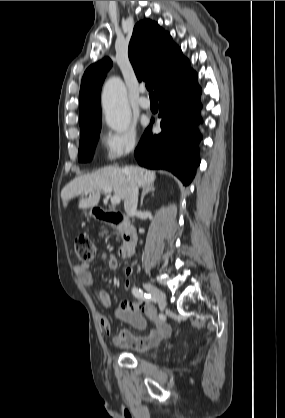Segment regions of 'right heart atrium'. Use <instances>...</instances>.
<instances>
[{
  "label": "right heart atrium",
  "instance_id": "obj_1",
  "mask_svg": "<svg viewBox=\"0 0 285 418\" xmlns=\"http://www.w3.org/2000/svg\"><path fill=\"white\" fill-rule=\"evenodd\" d=\"M137 143L138 137L134 127H129L122 132L107 131L103 136L107 161L113 162L132 153Z\"/></svg>",
  "mask_w": 285,
  "mask_h": 418
}]
</instances>
